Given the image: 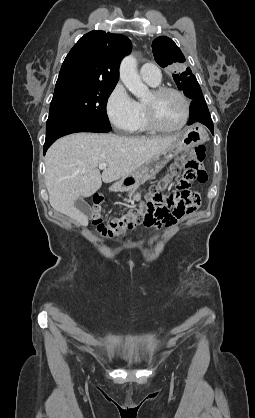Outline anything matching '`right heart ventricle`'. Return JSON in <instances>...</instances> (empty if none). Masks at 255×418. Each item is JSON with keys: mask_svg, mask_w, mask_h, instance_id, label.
Here are the masks:
<instances>
[{"mask_svg": "<svg viewBox=\"0 0 255 418\" xmlns=\"http://www.w3.org/2000/svg\"><path fill=\"white\" fill-rule=\"evenodd\" d=\"M149 84V83H148ZM152 87H157L159 84L154 85V84H149ZM139 106V117H138V121L135 125V127L133 128V132H146L149 131L150 128L147 124L146 121V116H145V109H144V103H138Z\"/></svg>", "mask_w": 255, "mask_h": 418, "instance_id": "obj_1", "label": "right heart ventricle"}]
</instances>
